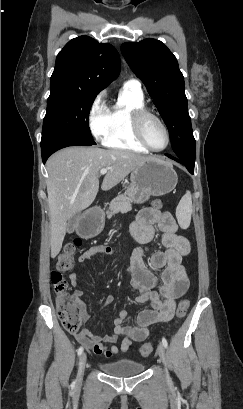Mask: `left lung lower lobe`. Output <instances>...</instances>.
I'll return each mask as SVG.
<instances>
[{"instance_id":"0a47b994","label":"left lung lower lobe","mask_w":243,"mask_h":409,"mask_svg":"<svg viewBox=\"0 0 243 409\" xmlns=\"http://www.w3.org/2000/svg\"><path fill=\"white\" fill-rule=\"evenodd\" d=\"M166 156H168L169 158H171V159H173V160H175V161H177L179 163L184 164L186 166V168L188 169V171L193 174V172H194V163H190V162L181 160V159H179L177 157H174V156H171L169 154H166Z\"/></svg>"}]
</instances>
